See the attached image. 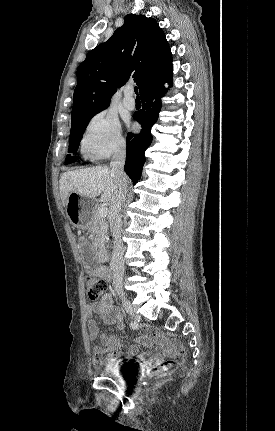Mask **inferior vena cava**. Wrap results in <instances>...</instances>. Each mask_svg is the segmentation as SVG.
Instances as JSON below:
<instances>
[{"label": "inferior vena cava", "mask_w": 275, "mask_h": 431, "mask_svg": "<svg viewBox=\"0 0 275 431\" xmlns=\"http://www.w3.org/2000/svg\"><path fill=\"white\" fill-rule=\"evenodd\" d=\"M126 158V148L124 145L115 150L112 161L110 163L111 173L116 181V190L111 199L109 223L112 236L114 238V249L110 268L113 272L115 290H121L124 262H123V243L121 239L122 221L120 211L127 194L128 179L124 172V164Z\"/></svg>", "instance_id": "1"}]
</instances>
